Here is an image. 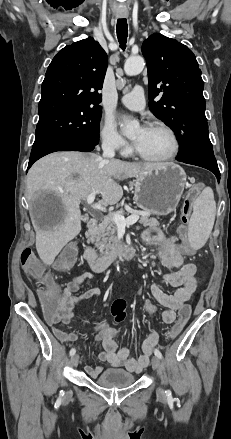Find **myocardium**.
<instances>
[{
  "mask_svg": "<svg viewBox=\"0 0 231 439\" xmlns=\"http://www.w3.org/2000/svg\"><path fill=\"white\" fill-rule=\"evenodd\" d=\"M148 128H155V129H160V130L164 131L169 136V138L171 140V144H172L171 150L164 156L151 157V156L144 155L137 148H135V150H134L135 154L142 160H145L148 162H155V163L166 162V161H169V160H172L173 158H175L180 150V142H179V139H178L176 133L173 131V129L170 128L168 125H166L164 123H160V122L152 123L148 126Z\"/></svg>",
  "mask_w": 231,
  "mask_h": 439,
  "instance_id": "myocardium-1",
  "label": "myocardium"
}]
</instances>
